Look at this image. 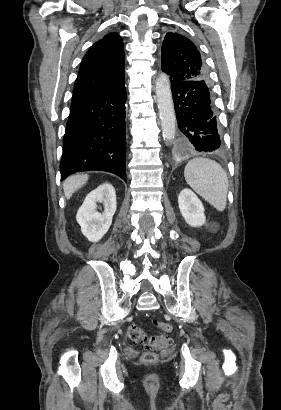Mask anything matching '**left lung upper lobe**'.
<instances>
[{
    "label": "left lung upper lobe",
    "instance_id": "5c2ea615",
    "mask_svg": "<svg viewBox=\"0 0 281 410\" xmlns=\"http://www.w3.org/2000/svg\"><path fill=\"white\" fill-rule=\"evenodd\" d=\"M161 69L170 80L207 81V69L196 46L186 37L168 32L161 50Z\"/></svg>",
    "mask_w": 281,
    "mask_h": 410
}]
</instances>
